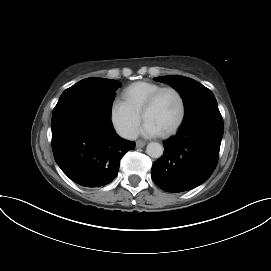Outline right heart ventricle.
<instances>
[{"instance_id": "obj_1", "label": "right heart ventricle", "mask_w": 271, "mask_h": 271, "mask_svg": "<svg viewBox=\"0 0 271 271\" xmlns=\"http://www.w3.org/2000/svg\"><path fill=\"white\" fill-rule=\"evenodd\" d=\"M162 86L150 81H138L128 85L122 92L123 101L136 113L141 110L147 99Z\"/></svg>"}]
</instances>
